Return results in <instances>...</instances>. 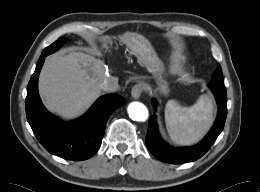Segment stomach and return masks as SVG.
<instances>
[{
	"mask_svg": "<svg viewBox=\"0 0 260 192\" xmlns=\"http://www.w3.org/2000/svg\"><path fill=\"white\" fill-rule=\"evenodd\" d=\"M124 41L128 45L130 51L137 56L138 60L145 67H149L151 64L156 63L159 65L160 71L163 69L161 62L159 61L156 53L147 39L138 34H126ZM158 87L156 92L162 95H168L170 92L168 83L161 77L158 79Z\"/></svg>",
	"mask_w": 260,
	"mask_h": 192,
	"instance_id": "0dacf381",
	"label": "stomach"
}]
</instances>
